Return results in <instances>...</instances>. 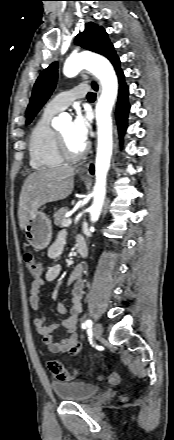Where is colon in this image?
<instances>
[{"mask_svg":"<svg viewBox=\"0 0 174 440\" xmlns=\"http://www.w3.org/2000/svg\"><path fill=\"white\" fill-rule=\"evenodd\" d=\"M24 257L30 275L35 279L40 278L42 275L41 264L34 259L31 252H26ZM107 379L111 384H117L119 382V376L116 372H112Z\"/></svg>","mask_w":174,"mask_h":440,"instance_id":"obj_1","label":"colon"}]
</instances>
